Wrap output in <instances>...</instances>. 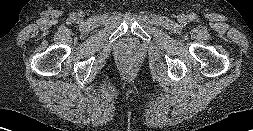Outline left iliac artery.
<instances>
[{"label": "left iliac artery", "instance_id": "44dca946", "mask_svg": "<svg viewBox=\"0 0 253 131\" xmlns=\"http://www.w3.org/2000/svg\"><path fill=\"white\" fill-rule=\"evenodd\" d=\"M190 19H191L192 21H194V20L196 19L195 15H194V14L191 15V16H190Z\"/></svg>", "mask_w": 253, "mask_h": 131}]
</instances>
